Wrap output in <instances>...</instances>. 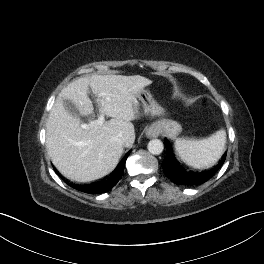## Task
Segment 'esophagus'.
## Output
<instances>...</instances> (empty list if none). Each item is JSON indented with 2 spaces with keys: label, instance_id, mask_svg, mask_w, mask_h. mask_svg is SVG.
I'll return each instance as SVG.
<instances>
[{
  "label": "esophagus",
  "instance_id": "obj_1",
  "mask_svg": "<svg viewBox=\"0 0 264 264\" xmlns=\"http://www.w3.org/2000/svg\"><path fill=\"white\" fill-rule=\"evenodd\" d=\"M146 135L148 137H156L158 136V131L155 127H150L147 131H146Z\"/></svg>",
  "mask_w": 264,
  "mask_h": 264
}]
</instances>
